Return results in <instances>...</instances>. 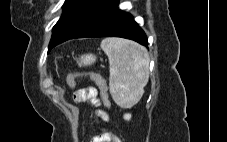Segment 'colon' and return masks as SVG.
I'll use <instances>...</instances> for the list:
<instances>
[{"label": "colon", "instance_id": "colon-1", "mask_svg": "<svg viewBox=\"0 0 227 142\" xmlns=\"http://www.w3.org/2000/svg\"><path fill=\"white\" fill-rule=\"evenodd\" d=\"M77 77H78V75H75V74L70 75L68 77L67 83H68V86H69L70 89H74ZM90 77L94 80V82L99 87L104 104L106 106H109V100H108V94H107V85H106L105 81L100 76L95 75V74H91Z\"/></svg>", "mask_w": 227, "mask_h": 142}]
</instances>
